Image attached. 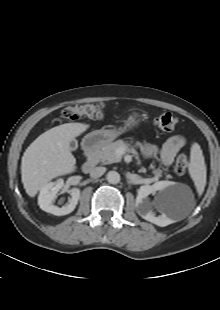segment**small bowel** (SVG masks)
<instances>
[{"label": "small bowel", "instance_id": "1", "mask_svg": "<svg viewBox=\"0 0 220 310\" xmlns=\"http://www.w3.org/2000/svg\"><path fill=\"white\" fill-rule=\"evenodd\" d=\"M186 146V139L181 135L170 137L159 149L157 146L144 143L142 150L146 156L160 155L164 165L169 166L174 161L178 152Z\"/></svg>", "mask_w": 220, "mask_h": 310}]
</instances>
